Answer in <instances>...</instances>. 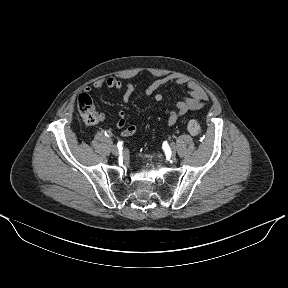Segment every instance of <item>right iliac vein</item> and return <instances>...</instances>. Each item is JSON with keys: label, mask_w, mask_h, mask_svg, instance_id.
I'll return each instance as SVG.
<instances>
[{"label": "right iliac vein", "mask_w": 288, "mask_h": 288, "mask_svg": "<svg viewBox=\"0 0 288 288\" xmlns=\"http://www.w3.org/2000/svg\"><path fill=\"white\" fill-rule=\"evenodd\" d=\"M111 152L114 154V155H118L119 154V149L116 145H113L111 147Z\"/></svg>", "instance_id": "63e3f726"}]
</instances>
